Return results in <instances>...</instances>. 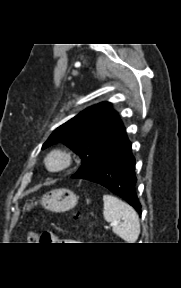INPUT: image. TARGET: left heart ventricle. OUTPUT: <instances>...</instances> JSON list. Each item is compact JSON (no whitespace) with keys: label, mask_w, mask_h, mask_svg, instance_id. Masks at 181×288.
Masks as SVG:
<instances>
[{"label":"left heart ventricle","mask_w":181,"mask_h":288,"mask_svg":"<svg viewBox=\"0 0 181 288\" xmlns=\"http://www.w3.org/2000/svg\"><path fill=\"white\" fill-rule=\"evenodd\" d=\"M56 164H57V160H56V159H53V160L51 161V165L55 166Z\"/></svg>","instance_id":"1"}]
</instances>
